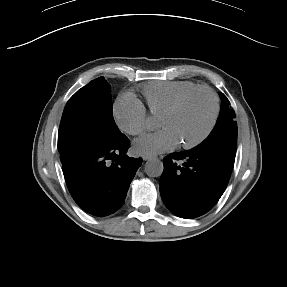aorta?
<instances>
[{"mask_svg":"<svg viewBox=\"0 0 287 287\" xmlns=\"http://www.w3.org/2000/svg\"><path fill=\"white\" fill-rule=\"evenodd\" d=\"M164 170L163 162L159 159H150L145 164V173L150 177H159Z\"/></svg>","mask_w":287,"mask_h":287,"instance_id":"obj_1","label":"aorta"}]
</instances>
